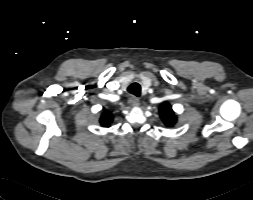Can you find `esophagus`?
<instances>
[{"mask_svg": "<svg viewBox=\"0 0 253 200\" xmlns=\"http://www.w3.org/2000/svg\"><path fill=\"white\" fill-rule=\"evenodd\" d=\"M130 103H131L133 106L137 107V106H139V104H140V100H139L138 97L132 96V97L130 98Z\"/></svg>", "mask_w": 253, "mask_h": 200, "instance_id": "obj_1", "label": "esophagus"}]
</instances>
